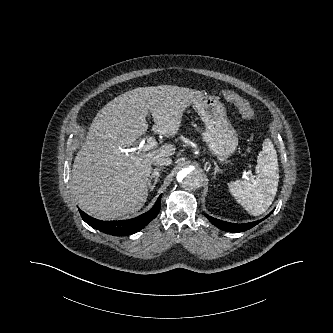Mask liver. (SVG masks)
Returning <instances> with one entry per match:
<instances>
[{"label": "liver", "instance_id": "liver-1", "mask_svg": "<svg viewBox=\"0 0 333 333\" xmlns=\"http://www.w3.org/2000/svg\"><path fill=\"white\" fill-rule=\"evenodd\" d=\"M202 92L171 85L138 87L107 103L93 119L87 139L77 153L70 183L79 206L100 220H114L140 210L148 197L152 159L171 156L172 144L126 155L148 129L167 138L177 134L184 111Z\"/></svg>", "mask_w": 333, "mask_h": 333}]
</instances>
